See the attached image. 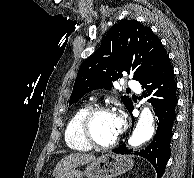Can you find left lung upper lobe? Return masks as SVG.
<instances>
[{
  "label": "left lung upper lobe",
  "mask_w": 194,
  "mask_h": 178,
  "mask_svg": "<svg viewBox=\"0 0 194 178\" xmlns=\"http://www.w3.org/2000/svg\"><path fill=\"white\" fill-rule=\"evenodd\" d=\"M167 56L151 28L136 20H122L107 32L99 49L81 64L69 105L94 89L110 90L112 81L122 77L123 71L133 74V79L141 82ZM122 101L127 109L132 105L127 96H123Z\"/></svg>",
  "instance_id": "5c2ea615"
}]
</instances>
